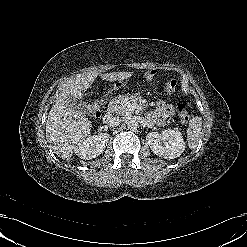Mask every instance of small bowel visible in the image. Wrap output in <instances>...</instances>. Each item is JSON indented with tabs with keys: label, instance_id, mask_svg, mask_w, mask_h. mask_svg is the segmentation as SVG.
Masks as SVG:
<instances>
[{
	"label": "small bowel",
	"instance_id": "small-bowel-1",
	"mask_svg": "<svg viewBox=\"0 0 247 247\" xmlns=\"http://www.w3.org/2000/svg\"><path fill=\"white\" fill-rule=\"evenodd\" d=\"M155 75L154 70H149L145 73V78L147 80H151ZM174 112V108L171 104H167L163 101H159L156 104V109L152 113L151 118L157 125H162L164 121L172 115Z\"/></svg>",
	"mask_w": 247,
	"mask_h": 247
}]
</instances>
